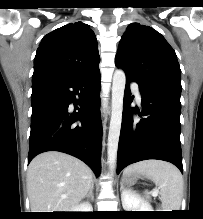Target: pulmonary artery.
Returning a JSON list of instances; mask_svg holds the SVG:
<instances>
[{
    "mask_svg": "<svg viewBox=\"0 0 203 219\" xmlns=\"http://www.w3.org/2000/svg\"><path fill=\"white\" fill-rule=\"evenodd\" d=\"M132 90L138 100H141V95L139 91V86L136 83L131 84Z\"/></svg>",
    "mask_w": 203,
    "mask_h": 219,
    "instance_id": "e3ab8cb5",
    "label": "pulmonary artery"
}]
</instances>
